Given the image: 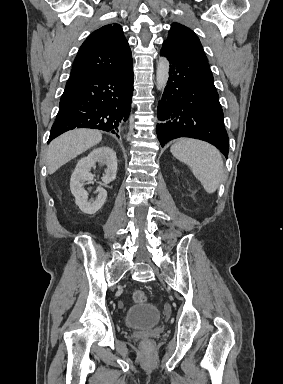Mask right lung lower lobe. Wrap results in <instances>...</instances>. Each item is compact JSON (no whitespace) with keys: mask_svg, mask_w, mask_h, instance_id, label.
Returning a JSON list of instances; mask_svg holds the SVG:
<instances>
[{"mask_svg":"<svg viewBox=\"0 0 283 384\" xmlns=\"http://www.w3.org/2000/svg\"><path fill=\"white\" fill-rule=\"evenodd\" d=\"M133 65L66 87L48 142L74 128L100 129L118 136L131 110Z\"/></svg>","mask_w":283,"mask_h":384,"instance_id":"1","label":"right lung lower lobe"}]
</instances>
